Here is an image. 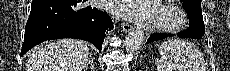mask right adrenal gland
Wrapping results in <instances>:
<instances>
[{
	"label": "right adrenal gland",
	"mask_w": 230,
	"mask_h": 71,
	"mask_svg": "<svg viewBox=\"0 0 230 71\" xmlns=\"http://www.w3.org/2000/svg\"><path fill=\"white\" fill-rule=\"evenodd\" d=\"M88 65H90V69H94V63H93V58H90L87 65L85 66L84 70L88 68Z\"/></svg>",
	"instance_id": "2a0ac1e0"
}]
</instances>
